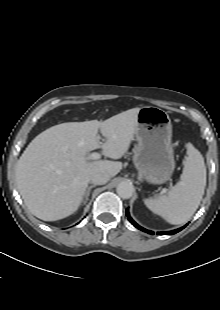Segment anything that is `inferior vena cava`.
I'll use <instances>...</instances> for the list:
<instances>
[{
	"label": "inferior vena cava",
	"mask_w": 220,
	"mask_h": 310,
	"mask_svg": "<svg viewBox=\"0 0 220 310\" xmlns=\"http://www.w3.org/2000/svg\"><path fill=\"white\" fill-rule=\"evenodd\" d=\"M109 180L110 176L106 173H95L90 178V181L95 185L106 184Z\"/></svg>",
	"instance_id": "602c4592"
}]
</instances>
